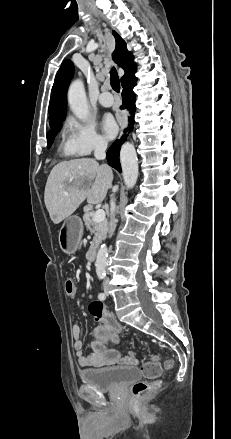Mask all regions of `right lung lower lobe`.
<instances>
[{"label": "right lung lower lobe", "instance_id": "right-lung-lower-lobe-1", "mask_svg": "<svg viewBox=\"0 0 231 439\" xmlns=\"http://www.w3.org/2000/svg\"><path fill=\"white\" fill-rule=\"evenodd\" d=\"M136 81L137 78H132L130 80H128L126 83L122 84L123 86V91H122V100H123V105L121 106V108H127L130 110L131 112V116L129 117V128H127L124 131V135L121 137V140H117L107 151V161L108 164L110 166H112L113 168H115L118 172H122L121 170V165H120V160H119V151H120V147L122 145L123 142L126 141V132L129 131L131 132L133 129V118H134V113L136 110L134 101H135V93L133 92V88L136 85Z\"/></svg>", "mask_w": 231, "mask_h": 439}]
</instances>
